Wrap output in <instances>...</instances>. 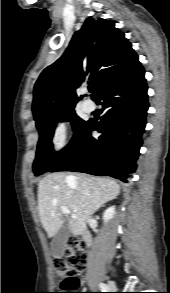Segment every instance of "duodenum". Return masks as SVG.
Instances as JSON below:
<instances>
[{
    "mask_svg": "<svg viewBox=\"0 0 170 293\" xmlns=\"http://www.w3.org/2000/svg\"><path fill=\"white\" fill-rule=\"evenodd\" d=\"M83 242L88 247L92 242V236L89 232H84L83 234Z\"/></svg>",
    "mask_w": 170,
    "mask_h": 293,
    "instance_id": "obj_1",
    "label": "duodenum"
}]
</instances>
